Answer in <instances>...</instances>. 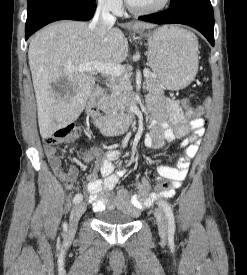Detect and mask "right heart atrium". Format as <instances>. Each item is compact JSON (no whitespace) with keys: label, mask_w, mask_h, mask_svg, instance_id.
Segmentation results:
<instances>
[{"label":"right heart atrium","mask_w":247,"mask_h":275,"mask_svg":"<svg viewBox=\"0 0 247 275\" xmlns=\"http://www.w3.org/2000/svg\"><path fill=\"white\" fill-rule=\"evenodd\" d=\"M98 5L109 12L119 13L123 7V0H96Z\"/></svg>","instance_id":"d8ad5b80"}]
</instances>
